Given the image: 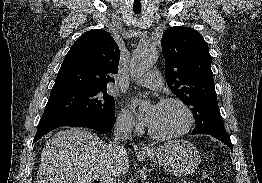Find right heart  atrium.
<instances>
[{"label":"right heart atrium","instance_id":"1","mask_svg":"<svg viewBox=\"0 0 262 183\" xmlns=\"http://www.w3.org/2000/svg\"><path fill=\"white\" fill-rule=\"evenodd\" d=\"M116 126L123 132L138 131L140 126L130 112L122 109L116 120Z\"/></svg>","mask_w":262,"mask_h":183}]
</instances>
